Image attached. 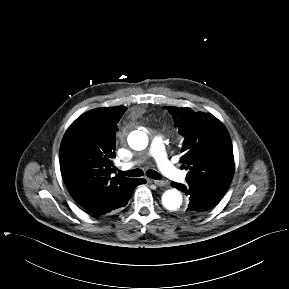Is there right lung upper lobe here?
<instances>
[{
  "label": "right lung upper lobe",
  "instance_id": "right-lung-upper-lobe-1",
  "mask_svg": "<svg viewBox=\"0 0 289 289\" xmlns=\"http://www.w3.org/2000/svg\"><path fill=\"white\" fill-rule=\"evenodd\" d=\"M127 108L90 110L67 129L60 146V169L72 198L99 216L127 205L137 179L113 176L117 123Z\"/></svg>",
  "mask_w": 289,
  "mask_h": 289
}]
</instances>
